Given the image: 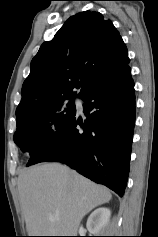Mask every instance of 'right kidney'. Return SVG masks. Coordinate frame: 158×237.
<instances>
[{
	"label": "right kidney",
	"mask_w": 158,
	"mask_h": 237,
	"mask_svg": "<svg viewBox=\"0 0 158 237\" xmlns=\"http://www.w3.org/2000/svg\"><path fill=\"white\" fill-rule=\"evenodd\" d=\"M111 211L109 208L101 207L94 210L87 219V229L90 233L97 235L110 220Z\"/></svg>",
	"instance_id": "1"
}]
</instances>
